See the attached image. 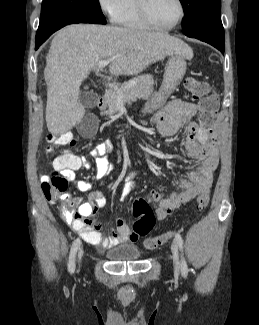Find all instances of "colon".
Wrapping results in <instances>:
<instances>
[{"instance_id": "colon-1", "label": "colon", "mask_w": 259, "mask_h": 325, "mask_svg": "<svg viewBox=\"0 0 259 325\" xmlns=\"http://www.w3.org/2000/svg\"><path fill=\"white\" fill-rule=\"evenodd\" d=\"M184 85L188 93L196 100L201 101L204 113L200 116V124L209 133L213 129L219 128V123L215 121V115L218 109L216 96L213 94L209 84L203 80L188 77L184 81ZM56 144L68 145L74 143L71 134H64L54 139ZM42 191L49 202L58 201L67 189V180L59 171H54L46 179L42 180ZM208 192H202L197 198L196 208L201 211L206 208L209 203ZM132 212L136 221L134 222L133 231L138 236H146L155 224V215L150 205L143 199H137L132 206ZM172 237V232H166L157 236L146 237L143 245L146 249L153 250L164 245Z\"/></svg>"}]
</instances>
